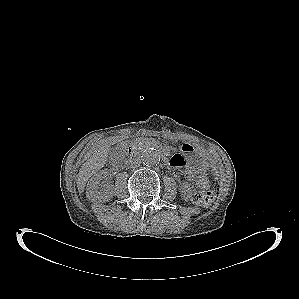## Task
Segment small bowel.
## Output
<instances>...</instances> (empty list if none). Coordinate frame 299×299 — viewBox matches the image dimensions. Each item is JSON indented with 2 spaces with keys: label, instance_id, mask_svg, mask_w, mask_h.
<instances>
[{
  "label": "small bowel",
  "instance_id": "obj_1",
  "mask_svg": "<svg viewBox=\"0 0 299 299\" xmlns=\"http://www.w3.org/2000/svg\"><path fill=\"white\" fill-rule=\"evenodd\" d=\"M169 164L170 166L174 167V168H179L182 169L186 178L188 180H192L193 178V173L190 169L185 167V160L183 158V156L176 154L174 155L170 160H169Z\"/></svg>",
  "mask_w": 299,
  "mask_h": 299
}]
</instances>
